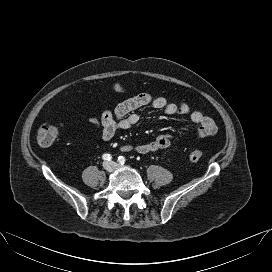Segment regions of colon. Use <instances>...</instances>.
Listing matches in <instances>:
<instances>
[{
	"mask_svg": "<svg viewBox=\"0 0 272 272\" xmlns=\"http://www.w3.org/2000/svg\"><path fill=\"white\" fill-rule=\"evenodd\" d=\"M113 88L116 92L119 93L124 91V88L119 84H115ZM57 136L58 128L54 125L46 124L38 129L36 134V140L38 144L41 146H49L53 144ZM202 156H203L202 151L196 150L189 154V160L193 163H196L199 160H201Z\"/></svg>",
	"mask_w": 272,
	"mask_h": 272,
	"instance_id": "colon-1",
	"label": "colon"
}]
</instances>
